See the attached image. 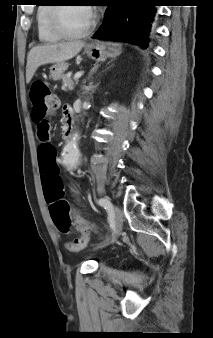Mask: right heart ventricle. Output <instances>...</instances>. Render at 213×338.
Masks as SVG:
<instances>
[{"label": "right heart ventricle", "mask_w": 213, "mask_h": 338, "mask_svg": "<svg viewBox=\"0 0 213 338\" xmlns=\"http://www.w3.org/2000/svg\"><path fill=\"white\" fill-rule=\"evenodd\" d=\"M47 2H41L36 11V27L38 38L41 42L54 43L60 38L49 29V14L52 7Z\"/></svg>", "instance_id": "1"}]
</instances>
